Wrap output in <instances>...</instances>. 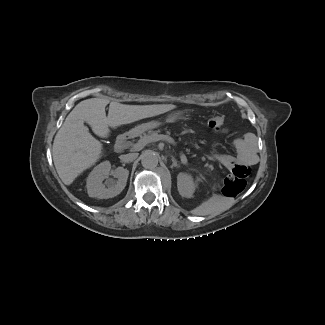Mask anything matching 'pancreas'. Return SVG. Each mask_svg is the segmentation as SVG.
Returning a JSON list of instances; mask_svg holds the SVG:
<instances>
[{"label": "pancreas", "instance_id": "pancreas-1", "mask_svg": "<svg viewBox=\"0 0 325 325\" xmlns=\"http://www.w3.org/2000/svg\"><path fill=\"white\" fill-rule=\"evenodd\" d=\"M151 131V132H150ZM148 131L150 134H166L167 136H170L172 138H177L178 137V141L181 144V149L183 154L190 159L191 161H193L194 163L200 165L201 167H207L208 166V161L205 158H201L198 155L194 154L190 148H189V144H188V140L185 138L184 135H179L178 136V132L176 130H172L171 128H166V127H162L159 130L158 129H153ZM147 134V133H145ZM149 135H144L146 137H148Z\"/></svg>", "mask_w": 325, "mask_h": 325}]
</instances>
